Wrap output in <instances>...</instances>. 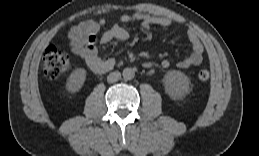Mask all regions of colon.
<instances>
[{
	"label": "colon",
	"mask_w": 259,
	"mask_h": 156,
	"mask_svg": "<svg viewBox=\"0 0 259 156\" xmlns=\"http://www.w3.org/2000/svg\"><path fill=\"white\" fill-rule=\"evenodd\" d=\"M71 63L69 56L55 46H49L45 49L42 57V70L49 79H57L70 69ZM198 80L206 82L210 78V72L207 69L198 72Z\"/></svg>",
	"instance_id": "1"
}]
</instances>
